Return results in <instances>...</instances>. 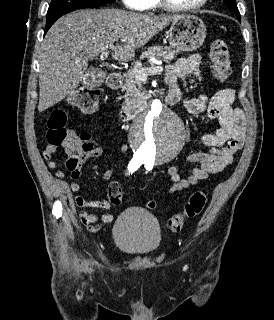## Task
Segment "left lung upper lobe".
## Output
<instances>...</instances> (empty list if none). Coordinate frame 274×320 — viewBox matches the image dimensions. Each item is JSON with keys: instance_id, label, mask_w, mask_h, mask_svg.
I'll return each mask as SVG.
<instances>
[{"instance_id": "left-lung-upper-lobe-1", "label": "left lung upper lobe", "mask_w": 274, "mask_h": 320, "mask_svg": "<svg viewBox=\"0 0 274 320\" xmlns=\"http://www.w3.org/2000/svg\"><path fill=\"white\" fill-rule=\"evenodd\" d=\"M225 5L235 14L240 15L236 5V0H223Z\"/></svg>"}]
</instances>
